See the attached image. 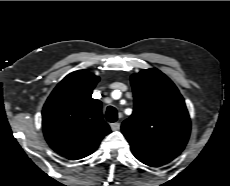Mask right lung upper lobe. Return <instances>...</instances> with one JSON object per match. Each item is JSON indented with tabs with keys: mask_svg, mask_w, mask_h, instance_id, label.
<instances>
[{
	"mask_svg": "<svg viewBox=\"0 0 230 186\" xmlns=\"http://www.w3.org/2000/svg\"><path fill=\"white\" fill-rule=\"evenodd\" d=\"M99 77L85 71L67 75L48 97L42 111L44 136L50 147L71 160L93 153L111 132L101 102L92 98Z\"/></svg>",
	"mask_w": 230,
	"mask_h": 186,
	"instance_id": "1",
	"label": "right lung upper lobe"
}]
</instances>
